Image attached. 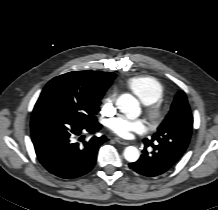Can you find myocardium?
Masks as SVG:
<instances>
[{
	"instance_id": "obj_1",
	"label": "myocardium",
	"mask_w": 218,
	"mask_h": 210,
	"mask_svg": "<svg viewBox=\"0 0 218 210\" xmlns=\"http://www.w3.org/2000/svg\"><path fill=\"white\" fill-rule=\"evenodd\" d=\"M146 115L152 123L160 122L165 115L164 108L159 102H154L146 106Z\"/></svg>"
}]
</instances>
